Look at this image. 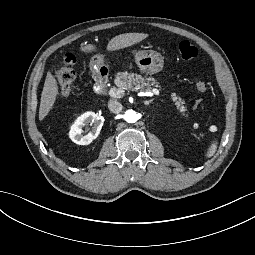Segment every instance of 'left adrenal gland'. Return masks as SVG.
Instances as JSON below:
<instances>
[{
  "label": "left adrenal gland",
  "instance_id": "left-adrenal-gland-1",
  "mask_svg": "<svg viewBox=\"0 0 255 255\" xmlns=\"http://www.w3.org/2000/svg\"><path fill=\"white\" fill-rule=\"evenodd\" d=\"M152 102H153V100L145 101L144 103H145V105L150 106V103H152Z\"/></svg>",
  "mask_w": 255,
  "mask_h": 255
}]
</instances>
